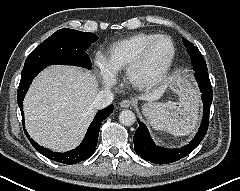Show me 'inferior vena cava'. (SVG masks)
<instances>
[{
    "label": "inferior vena cava",
    "instance_id": "inferior-vena-cava-1",
    "mask_svg": "<svg viewBox=\"0 0 240 191\" xmlns=\"http://www.w3.org/2000/svg\"><path fill=\"white\" fill-rule=\"evenodd\" d=\"M114 94L110 90L99 91L92 102V106L97 109L107 107L112 103Z\"/></svg>",
    "mask_w": 240,
    "mask_h": 191
}]
</instances>
